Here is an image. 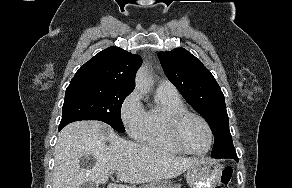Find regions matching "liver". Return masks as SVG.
Returning <instances> with one entry per match:
<instances>
[{
    "instance_id": "6515ba94",
    "label": "liver",
    "mask_w": 292,
    "mask_h": 188,
    "mask_svg": "<svg viewBox=\"0 0 292 188\" xmlns=\"http://www.w3.org/2000/svg\"><path fill=\"white\" fill-rule=\"evenodd\" d=\"M85 155L95 160L83 168L79 162ZM54 159L52 188H79L87 181L104 184L119 168H124L117 172L121 181L148 183L177 177L198 162V158L179 157L120 138L108 125L96 121L65 126L58 135Z\"/></svg>"
}]
</instances>
